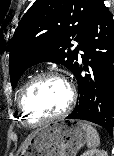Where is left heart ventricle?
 <instances>
[{
    "mask_svg": "<svg viewBox=\"0 0 114 156\" xmlns=\"http://www.w3.org/2000/svg\"><path fill=\"white\" fill-rule=\"evenodd\" d=\"M68 101V90L56 78H43L34 83L22 99L23 108L30 121L34 122L62 111Z\"/></svg>",
    "mask_w": 114,
    "mask_h": 156,
    "instance_id": "b2bd125f",
    "label": "left heart ventricle"
}]
</instances>
